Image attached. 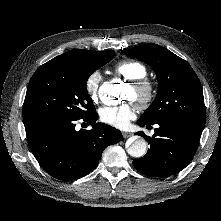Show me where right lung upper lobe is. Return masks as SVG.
<instances>
[{"label":"right lung upper lobe","mask_w":221,"mask_h":221,"mask_svg":"<svg viewBox=\"0 0 221 221\" xmlns=\"http://www.w3.org/2000/svg\"><path fill=\"white\" fill-rule=\"evenodd\" d=\"M98 53L101 52L89 51L84 49H73L60 56L53 58L52 60L48 61V63L57 65H75L88 60L89 58Z\"/></svg>","instance_id":"right-lung-upper-lobe-1"}]
</instances>
